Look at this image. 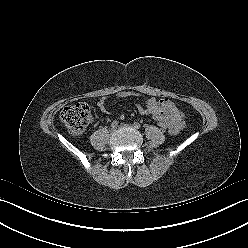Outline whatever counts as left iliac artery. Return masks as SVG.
Wrapping results in <instances>:
<instances>
[{
  "label": "left iliac artery",
  "mask_w": 248,
  "mask_h": 248,
  "mask_svg": "<svg viewBox=\"0 0 248 248\" xmlns=\"http://www.w3.org/2000/svg\"><path fill=\"white\" fill-rule=\"evenodd\" d=\"M140 126H141V125H140L138 122H135V123H134V127H135V128L139 129Z\"/></svg>",
  "instance_id": "1"
}]
</instances>
